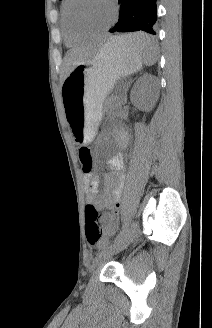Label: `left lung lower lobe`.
Listing matches in <instances>:
<instances>
[{
    "instance_id": "0a47b994",
    "label": "left lung lower lobe",
    "mask_w": 212,
    "mask_h": 328,
    "mask_svg": "<svg viewBox=\"0 0 212 328\" xmlns=\"http://www.w3.org/2000/svg\"><path fill=\"white\" fill-rule=\"evenodd\" d=\"M119 20L109 32L145 31L155 35L153 26L157 20L156 0H119ZM153 40L130 44V48L152 46Z\"/></svg>"
}]
</instances>
